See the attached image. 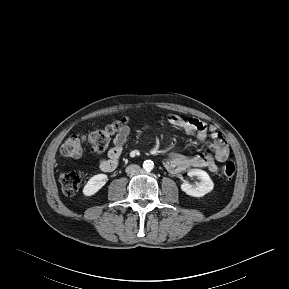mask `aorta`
<instances>
[{
  "label": "aorta",
  "instance_id": "aorta-1",
  "mask_svg": "<svg viewBox=\"0 0 289 289\" xmlns=\"http://www.w3.org/2000/svg\"><path fill=\"white\" fill-rule=\"evenodd\" d=\"M143 168H144V170L145 171H151V170H153V168H154V163H153V161H151V160H145L144 162H143Z\"/></svg>",
  "mask_w": 289,
  "mask_h": 289
}]
</instances>
